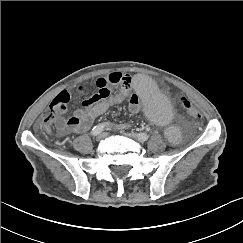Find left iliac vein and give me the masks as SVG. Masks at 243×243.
I'll return each instance as SVG.
<instances>
[{"mask_svg":"<svg viewBox=\"0 0 243 243\" xmlns=\"http://www.w3.org/2000/svg\"><path fill=\"white\" fill-rule=\"evenodd\" d=\"M126 137H129L131 139H138V135L134 132L124 133Z\"/></svg>","mask_w":243,"mask_h":243,"instance_id":"left-iliac-vein-1","label":"left iliac vein"}]
</instances>
